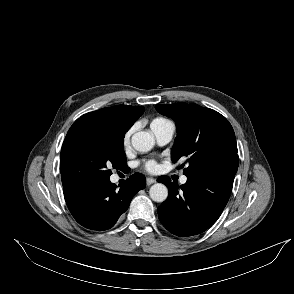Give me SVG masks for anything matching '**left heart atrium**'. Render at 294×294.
<instances>
[{
    "instance_id": "1",
    "label": "left heart atrium",
    "mask_w": 294,
    "mask_h": 294,
    "mask_svg": "<svg viewBox=\"0 0 294 294\" xmlns=\"http://www.w3.org/2000/svg\"><path fill=\"white\" fill-rule=\"evenodd\" d=\"M144 169L148 172H155L157 170V164L155 161H147L144 163Z\"/></svg>"
}]
</instances>
